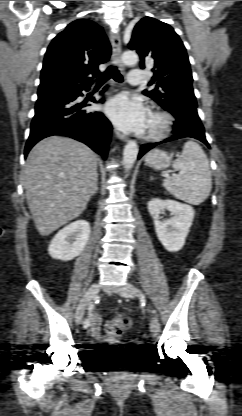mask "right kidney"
Instances as JSON below:
<instances>
[{
  "label": "right kidney",
  "instance_id": "obj_1",
  "mask_svg": "<svg viewBox=\"0 0 242 416\" xmlns=\"http://www.w3.org/2000/svg\"><path fill=\"white\" fill-rule=\"evenodd\" d=\"M90 237V224L77 220L61 229L52 239L48 252L54 259L70 261L81 254Z\"/></svg>",
  "mask_w": 242,
  "mask_h": 416
}]
</instances>
